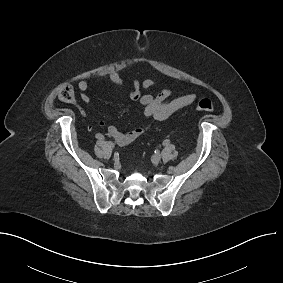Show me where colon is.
Listing matches in <instances>:
<instances>
[{
    "label": "colon",
    "instance_id": "obj_1",
    "mask_svg": "<svg viewBox=\"0 0 283 283\" xmlns=\"http://www.w3.org/2000/svg\"><path fill=\"white\" fill-rule=\"evenodd\" d=\"M58 97L61 101L66 103H73L75 101V92L71 85H64L59 89ZM214 104L210 99H202L197 105V110L210 112L213 111Z\"/></svg>",
    "mask_w": 283,
    "mask_h": 283
}]
</instances>
